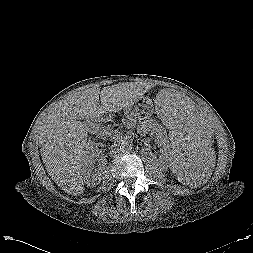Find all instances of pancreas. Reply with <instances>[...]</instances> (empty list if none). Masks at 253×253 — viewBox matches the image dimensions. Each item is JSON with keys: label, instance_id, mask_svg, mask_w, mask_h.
I'll return each instance as SVG.
<instances>
[{"label": "pancreas", "instance_id": "1", "mask_svg": "<svg viewBox=\"0 0 253 253\" xmlns=\"http://www.w3.org/2000/svg\"><path fill=\"white\" fill-rule=\"evenodd\" d=\"M103 134L106 135V137L109 138H114L117 136V133L111 128V127H106L103 129Z\"/></svg>", "mask_w": 253, "mask_h": 253}]
</instances>
